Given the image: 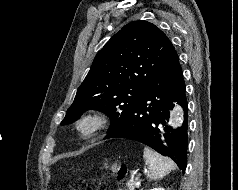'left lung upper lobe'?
I'll list each match as a JSON object with an SVG mask.
<instances>
[{
    "instance_id": "5c2ea615",
    "label": "left lung upper lobe",
    "mask_w": 238,
    "mask_h": 190,
    "mask_svg": "<svg viewBox=\"0 0 238 190\" xmlns=\"http://www.w3.org/2000/svg\"><path fill=\"white\" fill-rule=\"evenodd\" d=\"M176 55L171 41L157 26L147 21L128 23L95 56L61 124L95 109L110 116V133L127 116L151 79Z\"/></svg>"
}]
</instances>
